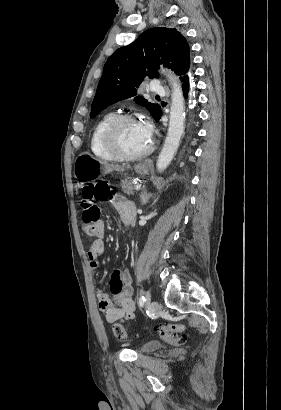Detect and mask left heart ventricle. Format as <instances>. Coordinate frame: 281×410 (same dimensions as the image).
<instances>
[{"label":"left heart ventricle","mask_w":281,"mask_h":410,"mask_svg":"<svg viewBox=\"0 0 281 410\" xmlns=\"http://www.w3.org/2000/svg\"><path fill=\"white\" fill-rule=\"evenodd\" d=\"M116 138L121 148L128 153L143 151L150 144L137 121L123 122L117 129Z\"/></svg>","instance_id":"obj_1"}]
</instances>
